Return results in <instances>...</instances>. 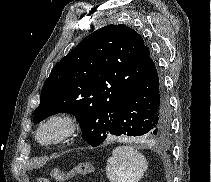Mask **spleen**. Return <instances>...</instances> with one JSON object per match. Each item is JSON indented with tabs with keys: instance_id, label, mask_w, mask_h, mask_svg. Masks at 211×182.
Segmentation results:
<instances>
[{
	"instance_id": "spleen-1",
	"label": "spleen",
	"mask_w": 211,
	"mask_h": 182,
	"mask_svg": "<svg viewBox=\"0 0 211 182\" xmlns=\"http://www.w3.org/2000/svg\"><path fill=\"white\" fill-rule=\"evenodd\" d=\"M148 165L142 153L130 146H118L106 164V176L111 182H139Z\"/></svg>"
}]
</instances>
